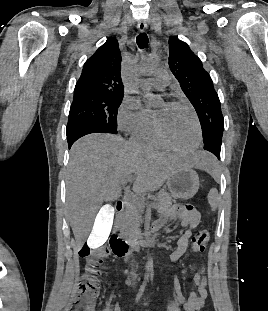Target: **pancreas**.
Wrapping results in <instances>:
<instances>
[{
    "label": "pancreas",
    "mask_w": 268,
    "mask_h": 311,
    "mask_svg": "<svg viewBox=\"0 0 268 311\" xmlns=\"http://www.w3.org/2000/svg\"><path fill=\"white\" fill-rule=\"evenodd\" d=\"M173 202L175 203V200L169 193L161 191L154 198V207L159 212H164ZM144 208V200L132 199L129 201L128 208L116 220V228L121 232L123 237H131L140 230Z\"/></svg>",
    "instance_id": "obj_1"
}]
</instances>
